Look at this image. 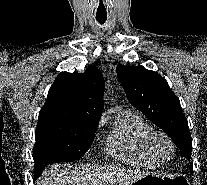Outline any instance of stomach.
<instances>
[{"instance_id": "1", "label": "stomach", "mask_w": 207, "mask_h": 185, "mask_svg": "<svg viewBox=\"0 0 207 185\" xmlns=\"http://www.w3.org/2000/svg\"><path fill=\"white\" fill-rule=\"evenodd\" d=\"M132 185H188V183L183 175L159 176L149 174L136 180Z\"/></svg>"}]
</instances>
